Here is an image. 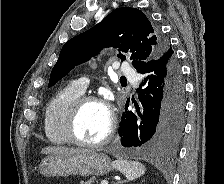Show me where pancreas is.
<instances>
[{"mask_svg":"<svg viewBox=\"0 0 224 184\" xmlns=\"http://www.w3.org/2000/svg\"><path fill=\"white\" fill-rule=\"evenodd\" d=\"M81 184H94V180L93 179H89L87 181L82 182Z\"/></svg>","mask_w":224,"mask_h":184,"instance_id":"1","label":"pancreas"}]
</instances>
